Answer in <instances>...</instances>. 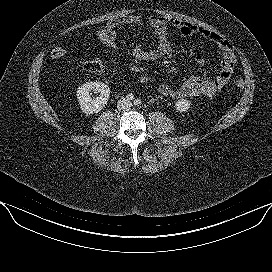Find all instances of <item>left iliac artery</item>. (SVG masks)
I'll list each match as a JSON object with an SVG mask.
<instances>
[{"label": "left iliac artery", "mask_w": 272, "mask_h": 272, "mask_svg": "<svg viewBox=\"0 0 272 272\" xmlns=\"http://www.w3.org/2000/svg\"><path fill=\"white\" fill-rule=\"evenodd\" d=\"M141 104H142V102L140 99H135V101H134L135 106H140Z\"/></svg>", "instance_id": "left-iliac-artery-1"}]
</instances>
